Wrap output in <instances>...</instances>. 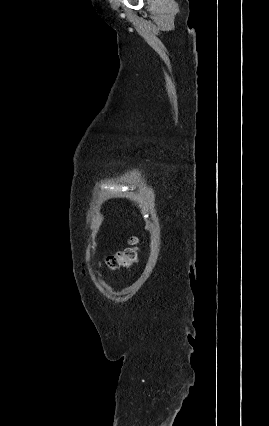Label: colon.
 Masks as SVG:
<instances>
[{
	"label": "colon",
	"instance_id": "5ec220e1",
	"mask_svg": "<svg viewBox=\"0 0 269 426\" xmlns=\"http://www.w3.org/2000/svg\"><path fill=\"white\" fill-rule=\"evenodd\" d=\"M138 261V249L136 240L132 239L130 245L123 251L116 253L106 259V266L111 270L129 268Z\"/></svg>",
	"mask_w": 269,
	"mask_h": 426
}]
</instances>
